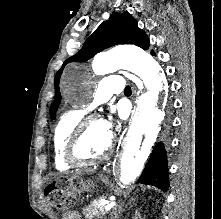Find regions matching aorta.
<instances>
[{
	"instance_id": "obj_1",
	"label": "aorta",
	"mask_w": 221,
	"mask_h": 219,
	"mask_svg": "<svg viewBox=\"0 0 221 219\" xmlns=\"http://www.w3.org/2000/svg\"><path fill=\"white\" fill-rule=\"evenodd\" d=\"M92 68L98 75L111 73L118 68L128 70L138 76L145 87L115 164L117 181L122 186H128L141 174L159 126L165 119L166 78L159 63L149 53L135 46H123L95 56ZM76 74L75 68L65 70L62 78L65 87Z\"/></svg>"
}]
</instances>
